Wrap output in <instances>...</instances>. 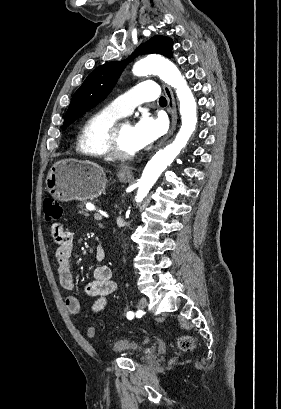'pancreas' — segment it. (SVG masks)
I'll list each match as a JSON object with an SVG mask.
<instances>
[{"label":"pancreas","mask_w":281,"mask_h":409,"mask_svg":"<svg viewBox=\"0 0 281 409\" xmlns=\"http://www.w3.org/2000/svg\"><path fill=\"white\" fill-rule=\"evenodd\" d=\"M78 207H80L79 213H81V215H87L88 211L87 209H84L85 205H83V202L82 205H78Z\"/></svg>","instance_id":"obj_1"}]
</instances>
